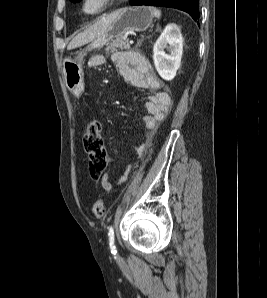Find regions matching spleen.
Segmentation results:
<instances>
[{
    "mask_svg": "<svg viewBox=\"0 0 267 298\" xmlns=\"http://www.w3.org/2000/svg\"><path fill=\"white\" fill-rule=\"evenodd\" d=\"M151 12L153 13V15L157 18L160 19L161 17V11L154 8V7H150Z\"/></svg>",
    "mask_w": 267,
    "mask_h": 298,
    "instance_id": "1",
    "label": "spleen"
}]
</instances>
